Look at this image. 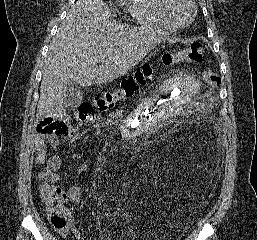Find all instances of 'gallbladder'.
Segmentation results:
<instances>
[{"label": "gallbladder", "mask_w": 257, "mask_h": 240, "mask_svg": "<svg viewBox=\"0 0 257 240\" xmlns=\"http://www.w3.org/2000/svg\"><path fill=\"white\" fill-rule=\"evenodd\" d=\"M82 99L83 92L81 87L76 82L70 81L63 101V108L68 111L75 110L82 103Z\"/></svg>", "instance_id": "obj_1"}]
</instances>
